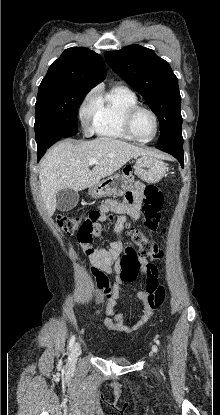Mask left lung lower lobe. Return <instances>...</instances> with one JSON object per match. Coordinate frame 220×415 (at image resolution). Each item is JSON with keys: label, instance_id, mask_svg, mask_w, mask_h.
Segmentation results:
<instances>
[{"label": "left lung lower lobe", "instance_id": "obj_1", "mask_svg": "<svg viewBox=\"0 0 220 415\" xmlns=\"http://www.w3.org/2000/svg\"><path fill=\"white\" fill-rule=\"evenodd\" d=\"M157 148L159 150H162V151L167 152V153L171 154L172 156H174L180 162L181 166L184 167L183 141L180 142V143H175V144L160 145Z\"/></svg>", "mask_w": 220, "mask_h": 415}]
</instances>
